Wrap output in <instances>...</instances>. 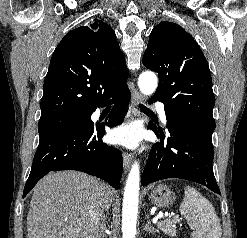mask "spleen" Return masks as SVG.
Instances as JSON below:
<instances>
[{
    "mask_svg": "<svg viewBox=\"0 0 247 238\" xmlns=\"http://www.w3.org/2000/svg\"><path fill=\"white\" fill-rule=\"evenodd\" d=\"M180 213L194 228L192 238H221L222 229L214 207L196 189L185 187Z\"/></svg>",
    "mask_w": 247,
    "mask_h": 238,
    "instance_id": "1",
    "label": "spleen"
}]
</instances>
